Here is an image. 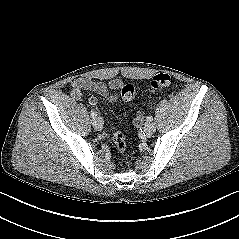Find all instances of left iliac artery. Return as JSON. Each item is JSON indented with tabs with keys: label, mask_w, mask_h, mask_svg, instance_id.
Masks as SVG:
<instances>
[{
	"label": "left iliac artery",
	"mask_w": 239,
	"mask_h": 239,
	"mask_svg": "<svg viewBox=\"0 0 239 239\" xmlns=\"http://www.w3.org/2000/svg\"><path fill=\"white\" fill-rule=\"evenodd\" d=\"M153 121V117L152 116H148L147 117V122H152Z\"/></svg>",
	"instance_id": "left-iliac-artery-1"
}]
</instances>
